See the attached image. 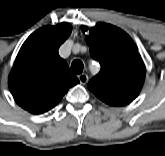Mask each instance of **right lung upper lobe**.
Instances as JSON below:
<instances>
[{"label": "right lung upper lobe", "instance_id": "obj_1", "mask_svg": "<svg viewBox=\"0 0 165 156\" xmlns=\"http://www.w3.org/2000/svg\"><path fill=\"white\" fill-rule=\"evenodd\" d=\"M71 30L68 23L44 26L22 45L9 76V89L16 103L28 112H47L79 83L58 53Z\"/></svg>", "mask_w": 165, "mask_h": 156}]
</instances>
